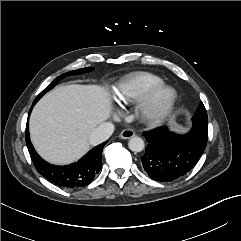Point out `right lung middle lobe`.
I'll return each mask as SVG.
<instances>
[{
  "mask_svg": "<svg viewBox=\"0 0 241 241\" xmlns=\"http://www.w3.org/2000/svg\"><path fill=\"white\" fill-rule=\"evenodd\" d=\"M93 69H94V68H92V67L82 68V69H79V70H74V71L65 73V74L57 77L49 86H47V87L37 96V98L34 100L33 103L37 102L47 91H49V90L52 89L55 85H57L58 82H59L61 79H63L64 77L70 76V75L84 74V73H87V72L92 71Z\"/></svg>",
  "mask_w": 241,
  "mask_h": 241,
  "instance_id": "dd1d6c3e",
  "label": "right lung middle lobe"
}]
</instances>
